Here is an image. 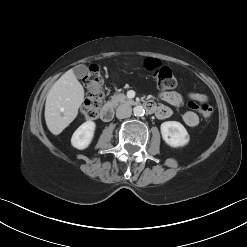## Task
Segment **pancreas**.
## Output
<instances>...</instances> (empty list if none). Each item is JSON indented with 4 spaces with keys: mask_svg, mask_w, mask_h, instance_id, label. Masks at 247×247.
Returning a JSON list of instances; mask_svg holds the SVG:
<instances>
[{
    "mask_svg": "<svg viewBox=\"0 0 247 247\" xmlns=\"http://www.w3.org/2000/svg\"><path fill=\"white\" fill-rule=\"evenodd\" d=\"M111 104L118 106L119 104H133L134 101L128 99L123 93L115 94L111 97Z\"/></svg>",
    "mask_w": 247,
    "mask_h": 247,
    "instance_id": "cf45deb5",
    "label": "pancreas"
}]
</instances>
